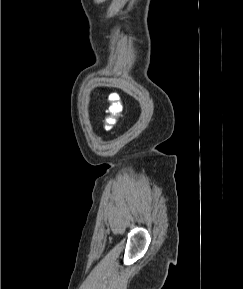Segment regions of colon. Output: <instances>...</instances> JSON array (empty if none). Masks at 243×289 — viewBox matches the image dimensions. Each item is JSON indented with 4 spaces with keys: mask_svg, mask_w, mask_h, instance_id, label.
I'll return each instance as SVG.
<instances>
[{
    "mask_svg": "<svg viewBox=\"0 0 243 289\" xmlns=\"http://www.w3.org/2000/svg\"><path fill=\"white\" fill-rule=\"evenodd\" d=\"M123 105L120 96L117 93H113L109 96V108L108 116L105 119L104 128L106 131L112 130L117 122L118 117L123 112Z\"/></svg>",
    "mask_w": 243,
    "mask_h": 289,
    "instance_id": "5ec220e1",
    "label": "colon"
}]
</instances>
